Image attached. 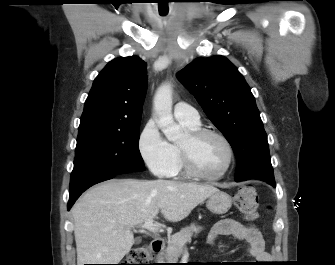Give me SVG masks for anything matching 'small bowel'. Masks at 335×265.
Here are the masks:
<instances>
[{
  "label": "small bowel",
  "mask_w": 335,
  "mask_h": 265,
  "mask_svg": "<svg viewBox=\"0 0 335 265\" xmlns=\"http://www.w3.org/2000/svg\"><path fill=\"white\" fill-rule=\"evenodd\" d=\"M220 236H233L247 244V251L251 258L264 263L269 258L265 250V242L261 232L252 226H246L234 219L226 218L218 221L210 230L207 242L214 244Z\"/></svg>",
  "instance_id": "1"
}]
</instances>
